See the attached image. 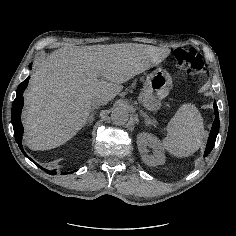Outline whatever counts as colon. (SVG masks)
I'll return each mask as SVG.
<instances>
[{"label":"colon","mask_w":236,"mask_h":236,"mask_svg":"<svg viewBox=\"0 0 236 236\" xmlns=\"http://www.w3.org/2000/svg\"><path fill=\"white\" fill-rule=\"evenodd\" d=\"M176 65L185 73L204 78L207 75V66L202 56L193 47L178 48L174 52Z\"/></svg>","instance_id":"colon-1"}]
</instances>
